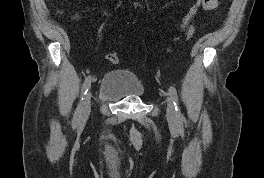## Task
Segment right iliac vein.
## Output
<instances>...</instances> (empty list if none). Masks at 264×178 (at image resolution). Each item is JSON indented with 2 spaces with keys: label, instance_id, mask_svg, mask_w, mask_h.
<instances>
[{
  "label": "right iliac vein",
  "instance_id": "63e3f726",
  "mask_svg": "<svg viewBox=\"0 0 264 178\" xmlns=\"http://www.w3.org/2000/svg\"><path fill=\"white\" fill-rule=\"evenodd\" d=\"M91 99H92V93L89 91L83 101L81 113H80V118H79V123L84 124L90 114L91 111Z\"/></svg>",
  "mask_w": 264,
  "mask_h": 178
}]
</instances>
